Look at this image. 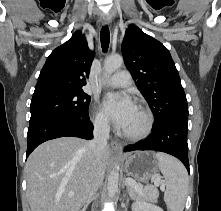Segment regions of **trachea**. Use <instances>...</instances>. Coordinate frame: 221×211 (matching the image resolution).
<instances>
[{"instance_id": "1", "label": "trachea", "mask_w": 221, "mask_h": 211, "mask_svg": "<svg viewBox=\"0 0 221 211\" xmlns=\"http://www.w3.org/2000/svg\"><path fill=\"white\" fill-rule=\"evenodd\" d=\"M100 40L103 52H106L110 43V32L108 26H103L100 32Z\"/></svg>"}]
</instances>
